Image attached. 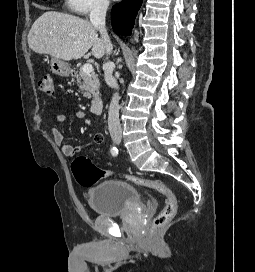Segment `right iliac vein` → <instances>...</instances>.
Instances as JSON below:
<instances>
[{"label":"right iliac vein","mask_w":255,"mask_h":272,"mask_svg":"<svg viewBox=\"0 0 255 272\" xmlns=\"http://www.w3.org/2000/svg\"><path fill=\"white\" fill-rule=\"evenodd\" d=\"M121 139V136H118V135H116V136H114L113 137V140H114V142H116V143H118V141Z\"/></svg>","instance_id":"63e3f726"}]
</instances>
